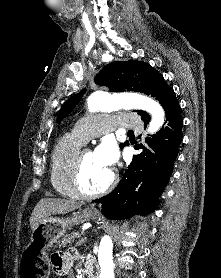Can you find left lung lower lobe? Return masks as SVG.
<instances>
[{"mask_svg":"<svg viewBox=\"0 0 221 278\" xmlns=\"http://www.w3.org/2000/svg\"><path fill=\"white\" fill-rule=\"evenodd\" d=\"M164 127L147 137L143 152L134 155L118 186L108 195L93 202L101 203L102 213L111 219H125L139 214L145 216L156 208L173 171V163L182 141V116L178 100L165 110ZM149 120L144 121V125Z\"/></svg>","mask_w":221,"mask_h":278,"instance_id":"1","label":"left lung lower lobe"}]
</instances>
